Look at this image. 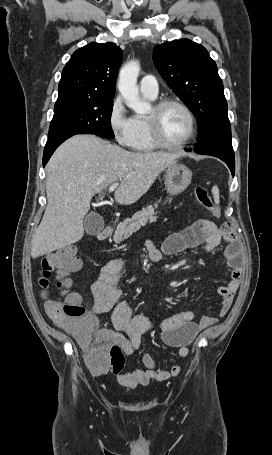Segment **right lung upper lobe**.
Masks as SVG:
<instances>
[{
    "label": "right lung upper lobe",
    "instance_id": "obj_1",
    "mask_svg": "<svg viewBox=\"0 0 272 455\" xmlns=\"http://www.w3.org/2000/svg\"><path fill=\"white\" fill-rule=\"evenodd\" d=\"M122 50L111 42L76 50L62 71L57 101L113 99Z\"/></svg>",
    "mask_w": 272,
    "mask_h": 455
}]
</instances>
